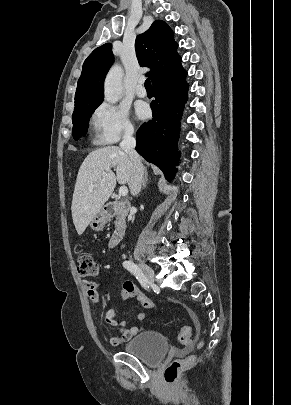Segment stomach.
I'll return each mask as SVG.
<instances>
[{"label": "stomach", "mask_w": 291, "mask_h": 405, "mask_svg": "<svg viewBox=\"0 0 291 405\" xmlns=\"http://www.w3.org/2000/svg\"><path fill=\"white\" fill-rule=\"evenodd\" d=\"M110 214L102 208L91 220L90 227L94 231H100L104 228L105 224L110 220Z\"/></svg>", "instance_id": "1"}]
</instances>
